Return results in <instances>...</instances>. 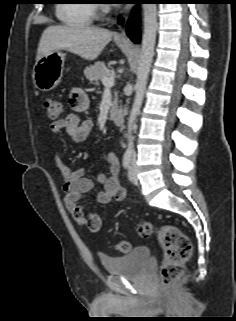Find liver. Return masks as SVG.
<instances>
[{"instance_id": "liver-1", "label": "liver", "mask_w": 236, "mask_h": 321, "mask_svg": "<svg viewBox=\"0 0 236 321\" xmlns=\"http://www.w3.org/2000/svg\"><path fill=\"white\" fill-rule=\"evenodd\" d=\"M112 35L107 29L84 25L49 26L41 36L36 62L55 50H67L85 60H94L111 41Z\"/></svg>"}]
</instances>
